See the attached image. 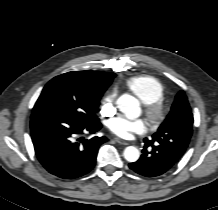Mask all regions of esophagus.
Segmentation results:
<instances>
[{"label":"esophagus","mask_w":218,"mask_h":210,"mask_svg":"<svg viewBox=\"0 0 218 210\" xmlns=\"http://www.w3.org/2000/svg\"><path fill=\"white\" fill-rule=\"evenodd\" d=\"M114 140L121 145H129V143L127 141H125L121 138L116 137V138H114Z\"/></svg>","instance_id":"1"}]
</instances>
